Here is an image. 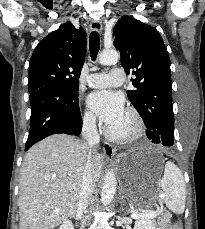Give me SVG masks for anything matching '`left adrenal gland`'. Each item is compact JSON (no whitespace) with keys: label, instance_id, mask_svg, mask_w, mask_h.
I'll list each match as a JSON object with an SVG mask.
<instances>
[{"label":"left adrenal gland","instance_id":"a2214340","mask_svg":"<svg viewBox=\"0 0 205 229\" xmlns=\"http://www.w3.org/2000/svg\"><path fill=\"white\" fill-rule=\"evenodd\" d=\"M119 203L121 205H124V203H125L124 196L122 195V193H120V196H119ZM123 210H124V208L121 207V211H123Z\"/></svg>","mask_w":205,"mask_h":229}]
</instances>
